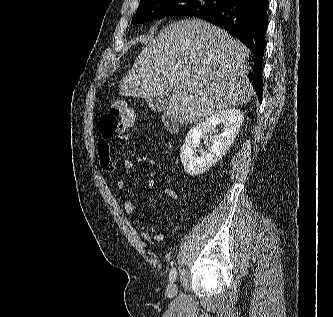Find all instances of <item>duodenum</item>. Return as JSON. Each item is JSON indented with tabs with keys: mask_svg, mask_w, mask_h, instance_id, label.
<instances>
[{
	"mask_svg": "<svg viewBox=\"0 0 333 317\" xmlns=\"http://www.w3.org/2000/svg\"><path fill=\"white\" fill-rule=\"evenodd\" d=\"M164 122H165V126L167 127V129L171 132H175L178 129V125L176 120L171 117L170 115L165 116L164 118Z\"/></svg>",
	"mask_w": 333,
	"mask_h": 317,
	"instance_id": "1",
	"label": "duodenum"
}]
</instances>
